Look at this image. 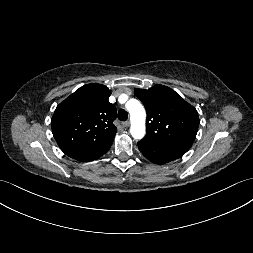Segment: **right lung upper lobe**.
I'll return each mask as SVG.
<instances>
[{
  "label": "right lung upper lobe",
  "instance_id": "cb5924a9",
  "mask_svg": "<svg viewBox=\"0 0 253 253\" xmlns=\"http://www.w3.org/2000/svg\"><path fill=\"white\" fill-rule=\"evenodd\" d=\"M110 94L102 84H87L57 106L52 132L67 156L73 158L114 140L117 110L108 100Z\"/></svg>",
  "mask_w": 253,
  "mask_h": 253
}]
</instances>
